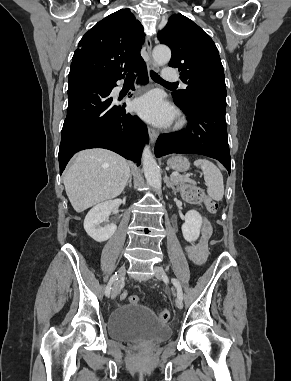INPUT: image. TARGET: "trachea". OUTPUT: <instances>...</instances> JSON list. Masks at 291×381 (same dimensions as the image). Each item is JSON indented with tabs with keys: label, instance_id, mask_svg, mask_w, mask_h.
Segmentation results:
<instances>
[{
	"label": "trachea",
	"instance_id": "3493384b",
	"mask_svg": "<svg viewBox=\"0 0 291 381\" xmlns=\"http://www.w3.org/2000/svg\"><path fill=\"white\" fill-rule=\"evenodd\" d=\"M150 76L151 78L157 82V83H161V84H175V83H170V82H167L165 80H163L156 72L154 71H150ZM127 77L128 78H135L136 76L132 73V72H129L127 74Z\"/></svg>",
	"mask_w": 291,
	"mask_h": 381
}]
</instances>
